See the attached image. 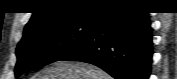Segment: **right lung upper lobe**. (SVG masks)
Segmentation results:
<instances>
[{"label": "right lung upper lobe", "mask_w": 177, "mask_h": 79, "mask_svg": "<svg viewBox=\"0 0 177 79\" xmlns=\"http://www.w3.org/2000/svg\"><path fill=\"white\" fill-rule=\"evenodd\" d=\"M130 3L134 2L129 0H41L36 3L35 11L24 28V35L40 27L100 16L107 8Z\"/></svg>", "instance_id": "1"}]
</instances>
